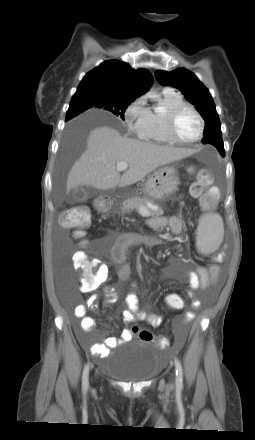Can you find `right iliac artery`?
<instances>
[{"mask_svg": "<svg viewBox=\"0 0 255 440\" xmlns=\"http://www.w3.org/2000/svg\"><path fill=\"white\" fill-rule=\"evenodd\" d=\"M89 364H86L83 370L82 374V390L83 393L87 392L89 381H88V374H89Z\"/></svg>", "mask_w": 255, "mask_h": 440, "instance_id": "82829eb1", "label": "right iliac artery"}]
</instances>
